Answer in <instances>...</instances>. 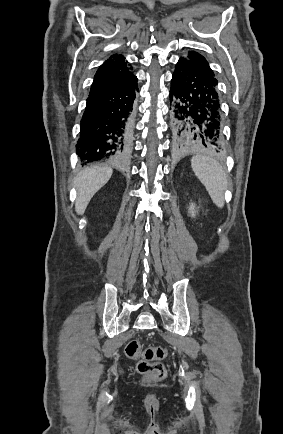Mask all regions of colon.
<instances>
[{
  "label": "colon",
  "instance_id": "5ec220e1",
  "mask_svg": "<svg viewBox=\"0 0 283 434\" xmlns=\"http://www.w3.org/2000/svg\"><path fill=\"white\" fill-rule=\"evenodd\" d=\"M126 356L138 360V372L150 380H161L166 375V369L159 361L167 357V350L160 346L148 347L142 350L138 340H131L125 347Z\"/></svg>",
  "mask_w": 283,
  "mask_h": 434
}]
</instances>
